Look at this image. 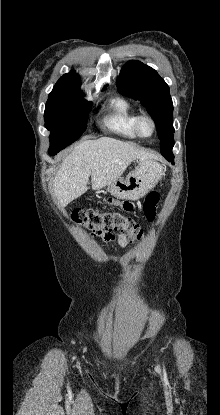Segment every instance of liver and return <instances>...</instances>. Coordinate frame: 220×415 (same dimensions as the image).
<instances>
[{
	"mask_svg": "<svg viewBox=\"0 0 220 415\" xmlns=\"http://www.w3.org/2000/svg\"><path fill=\"white\" fill-rule=\"evenodd\" d=\"M150 158V153L114 138L83 141L63 159L53 181L54 195L65 207L88 190L90 176L92 189L99 190L119 179L133 160Z\"/></svg>",
	"mask_w": 220,
	"mask_h": 415,
	"instance_id": "obj_1",
	"label": "liver"
}]
</instances>
